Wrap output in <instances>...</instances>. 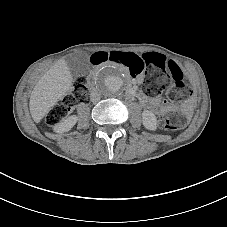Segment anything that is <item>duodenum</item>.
<instances>
[{
	"label": "duodenum",
	"mask_w": 227,
	"mask_h": 227,
	"mask_svg": "<svg viewBox=\"0 0 227 227\" xmlns=\"http://www.w3.org/2000/svg\"><path fill=\"white\" fill-rule=\"evenodd\" d=\"M127 91L131 92V95L136 97L142 106H145V97L144 96L141 97V96L137 95V91H136L133 83L132 84L129 83V86L127 87Z\"/></svg>",
	"instance_id": "obj_1"
}]
</instances>
